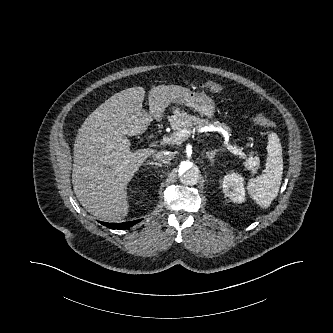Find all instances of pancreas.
I'll use <instances>...</instances> for the list:
<instances>
[{"label":"pancreas","instance_id":"cf45deb5","mask_svg":"<svg viewBox=\"0 0 333 333\" xmlns=\"http://www.w3.org/2000/svg\"><path fill=\"white\" fill-rule=\"evenodd\" d=\"M171 126L174 130V134L180 132L183 129H200L207 126H220L228 132L231 130L230 127L225 124H221L219 122L210 123L208 120L199 119L196 116L187 114L186 112H180L179 110L174 111V116L171 119ZM245 165L254 173L259 168V161L257 158L250 156L246 160Z\"/></svg>","mask_w":333,"mask_h":333}]
</instances>
